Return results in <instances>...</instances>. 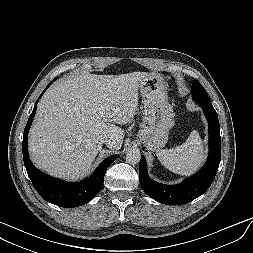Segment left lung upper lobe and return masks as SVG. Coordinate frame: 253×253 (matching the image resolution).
<instances>
[{"mask_svg":"<svg viewBox=\"0 0 253 253\" xmlns=\"http://www.w3.org/2000/svg\"><path fill=\"white\" fill-rule=\"evenodd\" d=\"M191 93L193 99L200 105L210 106L212 105L208 95L203 88V86L197 81L194 80L191 88Z\"/></svg>","mask_w":253,"mask_h":253,"instance_id":"obj_1","label":"left lung upper lobe"}]
</instances>
